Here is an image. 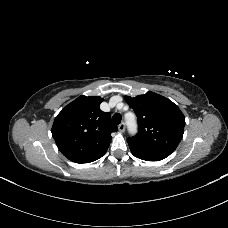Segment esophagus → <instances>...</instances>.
I'll use <instances>...</instances> for the list:
<instances>
[{
	"label": "esophagus",
	"mask_w": 228,
	"mask_h": 228,
	"mask_svg": "<svg viewBox=\"0 0 228 228\" xmlns=\"http://www.w3.org/2000/svg\"><path fill=\"white\" fill-rule=\"evenodd\" d=\"M125 127H126L125 123L122 122V123L119 124L118 129H119L120 132H124L125 131Z\"/></svg>",
	"instance_id": "obj_1"
}]
</instances>
